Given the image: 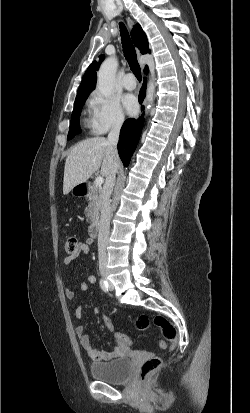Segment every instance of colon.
<instances>
[{"instance_id":"5ec220e1","label":"colon","mask_w":250,"mask_h":413,"mask_svg":"<svg viewBox=\"0 0 250 413\" xmlns=\"http://www.w3.org/2000/svg\"><path fill=\"white\" fill-rule=\"evenodd\" d=\"M79 242L75 237H69L64 243V251L68 255L75 254L78 251ZM113 317L107 314L104 317V326L106 329L111 330V334H114L115 339L122 343L126 348H131L134 345V339L132 336L124 333L123 331H116L115 323L112 321ZM155 326L160 328L163 338L172 344L173 349L178 341V331L176 326L162 315H157L153 318ZM150 320L147 316H139L136 320V327L139 330H146L149 327ZM165 341L160 342L161 348H166ZM162 365V358L159 356H152L144 361L140 368L139 378L142 381L147 380L152 374H154Z\"/></svg>"}]
</instances>
